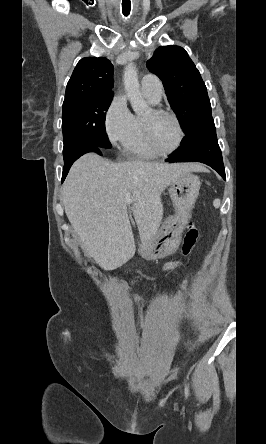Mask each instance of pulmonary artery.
Listing matches in <instances>:
<instances>
[{"instance_id": "e3ab8cb5", "label": "pulmonary artery", "mask_w": 266, "mask_h": 444, "mask_svg": "<svg viewBox=\"0 0 266 444\" xmlns=\"http://www.w3.org/2000/svg\"><path fill=\"white\" fill-rule=\"evenodd\" d=\"M142 93L154 102H159L163 94V86L160 79L153 74H146L141 80Z\"/></svg>"}]
</instances>
